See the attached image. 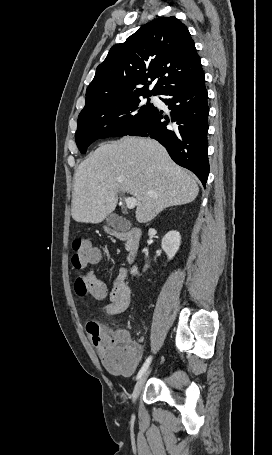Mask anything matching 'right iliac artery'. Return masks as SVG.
Wrapping results in <instances>:
<instances>
[{"instance_id":"right-iliac-artery-1","label":"right iliac artery","mask_w":272,"mask_h":455,"mask_svg":"<svg viewBox=\"0 0 272 455\" xmlns=\"http://www.w3.org/2000/svg\"><path fill=\"white\" fill-rule=\"evenodd\" d=\"M150 362H151V357H148L146 359L145 363L143 364V366L141 367V369L139 370L136 379H139L146 372L147 368L149 367Z\"/></svg>"}]
</instances>
